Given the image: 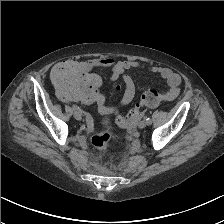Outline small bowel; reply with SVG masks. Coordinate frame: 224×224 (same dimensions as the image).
<instances>
[{"label": "small bowel", "instance_id": "obj_1", "mask_svg": "<svg viewBox=\"0 0 224 224\" xmlns=\"http://www.w3.org/2000/svg\"><path fill=\"white\" fill-rule=\"evenodd\" d=\"M83 67L87 70H92L98 67H107L112 70V79H117L123 75L125 83V92L123 94L121 105L129 104L136 93V84L133 78L125 74L127 70L131 69H144V66L136 61L132 60H116L114 58H92L83 62ZM148 71L154 74H158L163 78L168 86L167 91L162 95V99L165 101H171L175 99L180 92L181 78L180 76L167 67L151 66ZM105 110V108H103Z\"/></svg>", "mask_w": 224, "mask_h": 224}]
</instances>
